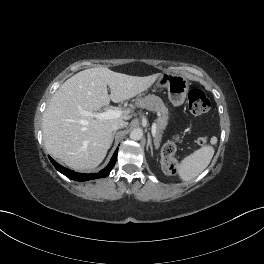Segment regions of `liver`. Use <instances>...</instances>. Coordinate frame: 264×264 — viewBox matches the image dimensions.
Segmentation results:
<instances>
[{"label": "liver", "mask_w": 264, "mask_h": 264, "mask_svg": "<svg viewBox=\"0 0 264 264\" xmlns=\"http://www.w3.org/2000/svg\"><path fill=\"white\" fill-rule=\"evenodd\" d=\"M159 77V73L130 76L105 67L86 69L70 77L52 96L43 114L47 151L72 169L96 168L112 144V126L131 116L101 120L95 114L110 101L123 102L144 92ZM82 111H90L93 116H85Z\"/></svg>", "instance_id": "6515ba94"}]
</instances>
